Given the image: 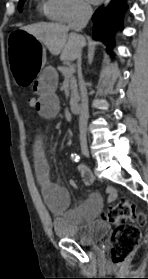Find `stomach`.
<instances>
[{
    "instance_id": "1",
    "label": "stomach",
    "mask_w": 148,
    "mask_h": 279,
    "mask_svg": "<svg viewBox=\"0 0 148 279\" xmlns=\"http://www.w3.org/2000/svg\"><path fill=\"white\" fill-rule=\"evenodd\" d=\"M6 55H9L11 75H14V87H33V79L38 72H43L46 51L43 44L28 30H11Z\"/></svg>"
}]
</instances>
